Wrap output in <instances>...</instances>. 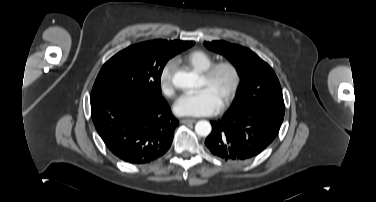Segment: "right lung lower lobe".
I'll return each mask as SVG.
<instances>
[{
    "label": "right lung lower lobe",
    "mask_w": 376,
    "mask_h": 202,
    "mask_svg": "<svg viewBox=\"0 0 376 202\" xmlns=\"http://www.w3.org/2000/svg\"><path fill=\"white\" fill-rule=\"evenodd\" d=\"M98 134L121 160L143 164L171 146L178 120L165 99L142 93L110 91L91 97Z\"/></svg>",
    "instance_id": "98d812e1"
}]
</instances>
